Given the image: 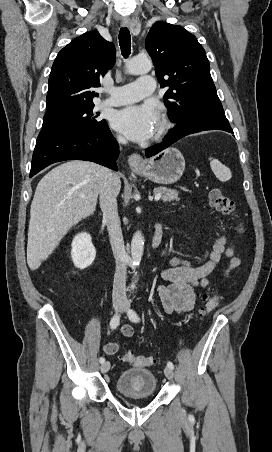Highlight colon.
Returning a JSON list of instances; mask_svg holds the SVG:
<instances>
[{
  "label": "colon",
  "instance_id": "obj_1",
  "mask_svg": "<svg viewBox=\"0 0 272 452\" xmlns=\"http://www.w3.org/2000/svg\"><path fill=\"white\" fill-rule=\"evenodd\" d=\"M209 203L212 208L224 215H234L235 205L234 202L225 195L219 189H212L209 192ZM202 301L204 303L203 307L200 309L199 313L202 318L207 317L217 306L218 296L204 294L202 296ZM122 360L130 365L136 367H148L154 365L156 360L150 356L138 355L134 353H125Z\"/></svg>",
  "mask_w": 272,
  "mask_h": 452
}]
</instances>
